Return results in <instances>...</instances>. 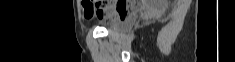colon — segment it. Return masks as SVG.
<instances>
[{
    "label": "colon",
    "instance_id": "colon-1",
    "mask_svg": "<svg viewBox=\"0 0 235 62\" xmlns=\"http://www.w3.org/2000/svg\"><path fill=\"white\" fill-rule=\"evenodd\" d=\"M134 7H135V5H134L132 8H127V7H125V6L119 4V5L116 7V17H117L118 19L125 18L126 15H127L131 10L134 9Z\"/></svg>",
    "mask_w": 235,
    "mask_h": 62
}]
</instances>
